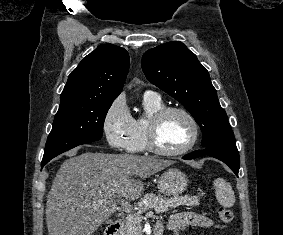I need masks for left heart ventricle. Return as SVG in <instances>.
I'll list each match as a JSON object with an SVG mask.
<instances>
[{"label":"left heart ventricle","mask_w":283,"mask_h":235,"mask_svg":"<svg viewBox=\"0 0 283 235\" xmlns=\"http://www.w3.org/2000/svg\"><path fill=\"white\" fill-rule=\"evenodd\" d=\"M191 133V125L185 116L170 113L159 124L156 143L163 150H177L188 143Z\"/></svg>","instance_id":"left-heart-ventricle-1"}]
</instances>
